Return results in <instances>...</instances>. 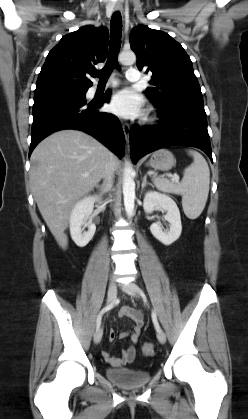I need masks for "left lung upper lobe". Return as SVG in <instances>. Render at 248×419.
Wrapping results in <instances>:
<instances>
[{
  "mask_svg": "<svg viewBox=\"0 0 248 419\" xmlns=\"http://www.w3.org/2000/svg\"><path fill=\"white\" fill-rule=\"evenodd\" d=\"M131 49L137 56L139 70L152 72L146 96L156 108L203 103L192 62L177 41L169 34L140 25L130 33Z\"/></svg>",
  "mask_w": 248,
  "mask_h": 419,
  "instance_id": "1",
  "label": "left lung upper lobe"
}]
</instances>
